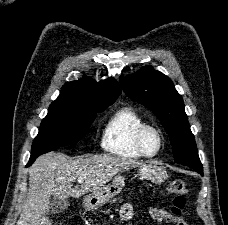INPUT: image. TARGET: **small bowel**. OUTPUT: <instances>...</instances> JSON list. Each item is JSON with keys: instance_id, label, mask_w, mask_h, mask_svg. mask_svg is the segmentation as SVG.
Instances as JSON below:
<instances>
[{"instance_id": "small-bowel-1", "label": "small bowel", "mask_w": 228, "mask_h": 225, "mask_svg": "<svg viewBox=\"0 0 228 225\" xmlns=\"http://www.w3.org/2000/svg\"><path fill=\"white\" fill-rule=\"evenodd\" d=\"M121 216L125 220H130L134 216V209L130 203H125L122 206ZM149 216L153 220H155L157 222L165 223L167 225H169V224L170 225H179L178 223L182 221L180 218L174 217L167 211L160 209V208H151L149 210ZM182 222H184V221H182ZM183 225H187V224H183Z\"/></svg>"}]
</instances>
